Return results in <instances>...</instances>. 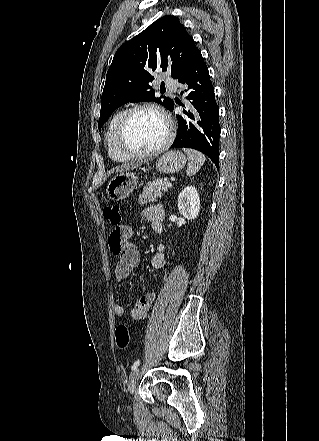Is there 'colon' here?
Returning a JSON list of instances; mask_svg holds the SVG:
<instances>
[{
    "label": "colon",
    "instance_id": "obj_1",
    "mask_svg": "<svg viewBox=\"0 0 319 441\" xmlns=\"http://www.w3.org/2000/svg\"><path fill=\"white\" fill-rule=\"evenodd\" d=\"M104 218L114 227L112 235L117 236L121 227L122 216L117 204L106 205L103 209ZM129 332L125 325H119L115 331V341L119 348L125 349L129 345Z\"/></svg>",
    "mask_w": 319,
    "mask_h": 441
}]
</instances>
